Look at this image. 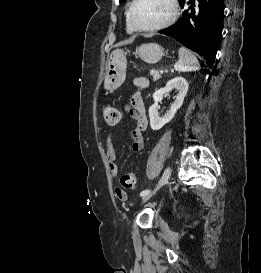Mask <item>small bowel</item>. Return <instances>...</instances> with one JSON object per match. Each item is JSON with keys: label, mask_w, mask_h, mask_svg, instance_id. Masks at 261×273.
Listing matches in <instances>:
<instances>
[{"label": "small bowel", "mask_w": 261, "mask_h": 273, "mask_svg": "<svg viewBox=\"0 0 261 273\" xmlns=\"http://www.w3.org/2000/svg\"><path fill=\"white\" fill-rule=\"evenodd\" d=\"M133 84L140 89H144L148 86V80L145 77H136L133 80ZM124 110L135 122V128L131 133V149L134 152H140L144 148L142 133L148 127V119L146 116L145 104L141 92H136L135 94H133L130 103L124 107ZM114 143L115 133L109 132L105 139V155L110 174L113 177H116L119 173V170ZM115 195L121 201L127 200L126 192L120 190L119 188L115 189Z\"/></svg>", "instance_id": "obj_1"}]
</instances>
